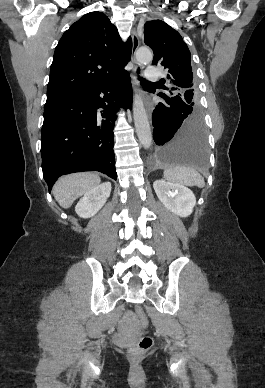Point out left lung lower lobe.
<instances>
[{
	"label": "left lung lower lobe",
	"mask_w": 265,
	"mask_h": 388,
	"mask_svg": "<svg viewBox=\"0 0 265 388\" xmlns=\"http://www.w3.org/2000/svg\"><path fill=\"white\" fill-rule=\"evenodd\" d=\"M159 95V94H158ZM153 111V164L203 168L207 163L206 130L199 108L185 104L178 96L159 95Z\"/></svg>",
	"instance_id": "left-lung-lower-lobe-1"
}]
</instances>
